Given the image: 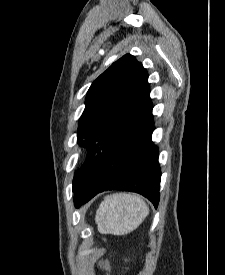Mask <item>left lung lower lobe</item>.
Returning <instances> with one entry per match:
<instances>
[{"label":"left lung lower lobe","instance_id":"obj_1","mask_svg":"<svg viewBox=\"0 0 225 275\" xmlns=\"http://www.w3.org/2000/svg\"><path fill=\"white\" fill-rule=\"evenodd\" d=\"M152 108L102 156L89 176L73 190L76 207L107 190L136 192L158 206L161 172L158 149L151 141Z\"/></svg>","mask_w":225,"mask_h":275}]
</instances>
